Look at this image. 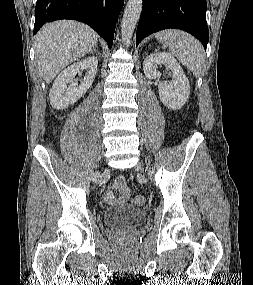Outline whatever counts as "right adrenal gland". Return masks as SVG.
Listing matches in <instances>:
<instances>
[{
    "mask_svg": "<svg viewBox=\"0 0 253 285\" xmlns=\"http://www.w3.org/2000/svg\"><path fill=\"white\" fill-rule=\"evenodd\" d=\"M92 52H97V53L100 55V53H99L97 47H94V48L92 49L91 53H92Z\"/></svg>",
    "mask_w": 253,
    "mask_h": 285,
    "instance_id": "right-adrenal-gland-1",
    "label": "right adrenal gland"
}]
</instances>
